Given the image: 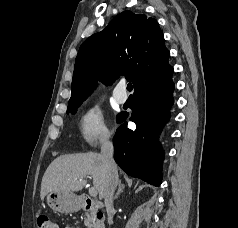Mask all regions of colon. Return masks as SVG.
Masks as SVG:
<instances>
[{"label":"colon","instance_id":"obj_1","mask_svg":"<svg viewBox=\"0 0 238 228\" xmlns=\"http://www.w3.org/2000/svg\"><path fill=\"white\" fill-rule=\"evenodd\" d=\"M37 228H56L55 223L47 214H39L36 219Z\"/></svg>","mask_w":238,"mask_h":228}]
</instances>
